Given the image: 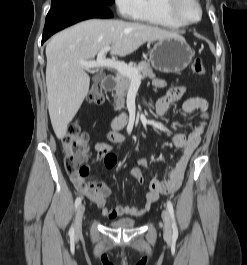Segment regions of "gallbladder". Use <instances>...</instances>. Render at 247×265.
<instances>
[{
	"label": "gallbladder",
	"mask_w": 247,
	"mask_h": 265,
	"mask_svg": "<svg viewBox=\"0 0 247 265\" xmlns=\"http://www.w3.org/2000/svg\"><path fill=\"white\" fill-rule=\"evenodd\" d=\"M93 80H94V82H99L101 80V76L100 75H95L93 77Z\"/></svg>",
	"instance_id": "obj_1"
}]
</instances>
